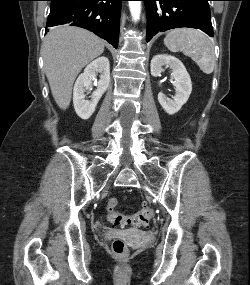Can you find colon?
Wrapping results in <instances>:
<instances>
[{
	"label": "colon",
	"instance_id": "1",
	"mask_svg": "<svg viewBox=\"0 0 250 285\" xmlns=\"http://www.w3.org/2000/svg\"><path fill=\"white\" fill-rule=\"evenodd\" d=\"M117 205L118 200L116 198H110L105 208L107 220L117 227H144L147 226L154 217V209L147 204L143 205L140 210L131 215H124L117 212ZM112 251L115 256L123 258L128 254V247L122 239H115L112 242Z\"/></svg>",
	"mask_w": 250,
	"mask_h": 285
}]
</instances>
